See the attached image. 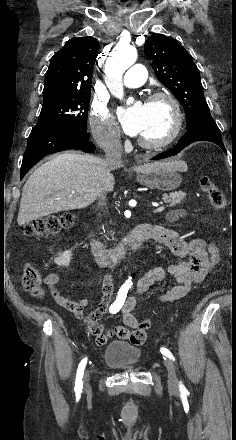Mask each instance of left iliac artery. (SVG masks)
Instances as JSON below:
<instances>
[{"label":"left iliac artery","mask_w":236,"mask_h":440,"mask_svg":"<svg viewBox=\"0 0 236 440\" xmlns=\"http://www.w3.org/2000/svg\"><path fill=\"white\" fill-rule=\"evenodd\" d=\"M160 351H161V353H162L163 355H165L166 357H168V358H170V359H172V360H175L174 357H173V355H172V353H171L167 348L162 347V348L160 349ZM179 388H180L181 391L186 389L185 386L182 384V382H180V384H179Z\"/></svg>","instance_id":"1"}]
</instances>
